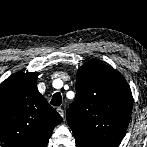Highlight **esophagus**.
<instances>
[{
  "label": "esophagus",
  "mask_w": 147,
  "mask_h": 147,
  "mask_svg": "<svg viewBox=\"0 0 147 147\" xmlns=\"http://www.w3.org/2000/svg\"><path fill=\"white\" fill-rule=\"evenodd\" d=\"M56 110H57V112L60 114V116H61L62 118H64L65 114H64L63 108L58 107Z\"/></svg>",
  "instance_id": "1"
}]
</instances>
